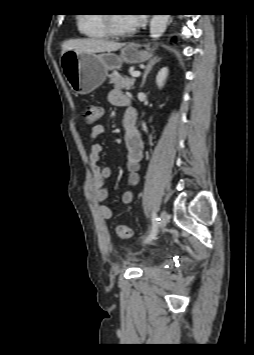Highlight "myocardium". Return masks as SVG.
<instances>
[{
  "label": "myocardium",
  "instance_id": "obj_1",
  "mask_svg": "<svg viewBox=\"0 0 254 355\" xmlns=\"http://www.w3.org/2000/svg\"><path fill=\"white\" fill-rule=\"evenodd\" d=\"M104 24L108 35L112 37H126L135 32V29L120 30L115 27L114 17L112 13H104Z\"/></svg>",
  "mask_w": 254,
  "mask_h": 355
}]
</instances>
